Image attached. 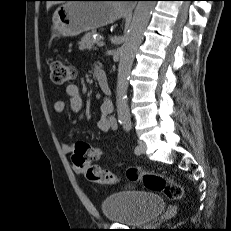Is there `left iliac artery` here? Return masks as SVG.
Instances as JSON below:
<instances>
[{
  "label": "left iliac artery",
  "mask_w": 231,
  "mask_h": 231,
  "mask_svg": "<svg viewBox=\"0 0 231 231\" xmlns=\"http://www.w3.org/2000/svg\"><path fill=\"white\" fill-rule=\"evenodd\" d=\"M122 124H123V128H124L125 131L129 132L131 130V128H132L131 121H128V120L126 121L125 120V121L122 122ZM135 153L139 154L138 146L135 148Z\"/></svg>",
  "instance_id": "left-iliac-artery-1"
}]
</instances>
